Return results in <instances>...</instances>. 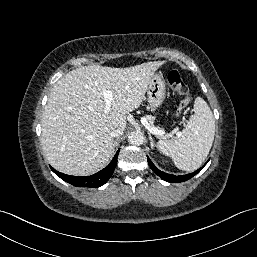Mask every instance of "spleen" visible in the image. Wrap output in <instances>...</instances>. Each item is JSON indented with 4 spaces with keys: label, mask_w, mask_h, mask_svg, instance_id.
Segmentation results:
<instances>
[{
    "label": "spleen",
    "mask_w": 257,
    "mask_h": 257,
    "mask_svg": "<svg viewBox=\"0 0 257 257\" xmlns=\"http://www.w3.org/2000/svg\"><path fill=\"white\" fill-rule=\"evenodd\" d=\"M194 111L195 114L189 118L177 138L157 143V148L171 157L177 168L184 171H194L201 166L214 140L215 119L210 107L201 97L195 99Z\"/></svg>",
    "instance_id": "3e777b00"
}]
</instances>
